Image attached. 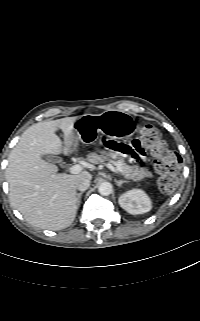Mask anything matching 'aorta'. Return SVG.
Returning a JSON list of instances; mask_svg holds the SVG:
<instances>
[{
  "label": "aorta",
  "mask_w": 200,
  "mask_h": 321,
  "mask_svg": "<svg viewBox=\"0 0 200 321\" xmlns=\"http://www.w3.org/2000/svg\"><path fill=\"white\" fill-rule=\"evenodd\" d=\"M98 191L103 196H108L112 193V185L109 182H102L99 185Z\"/></svg>",
  "instance_id": "762f6f07"
}]
</instances>
